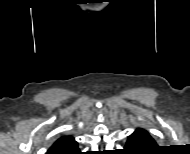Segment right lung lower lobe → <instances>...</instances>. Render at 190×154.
Wrapping results in <instances>:
<instances>
[{"instance_id": "98d812e1", "label": "right lung lower lobe", "mask_w": 190, "mask_h": 154, "mask_svg": "<svg viewBox=\"0 0 190 154\" xmlns=\"http://www.w3.org/2000/svg\"><path fill=\"white\" fill-rule=\"evenodd\" d=\"M80 152H79V149L78 150H76V151H73V152H66L65 154H79Z\"/></svg>"}]
</instances>
